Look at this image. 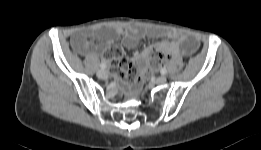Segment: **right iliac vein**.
Masks as SVG:
<instances>
[{"instance_id": "obj_1", "label": "right iliac vein", "mask_w": 261, "mask_h": 150, "mask_svg": "<svg viewBox=\"0 0 261 150\" xmlns=\"http://www.w3.org/2000/svg\"><path fill=\"white\" fill-rule=\"evenodd\" d=\"M97 76H98V78H100V79H106V78L108 77V72L105 71V70H99V71L97 72Z\"/></svg>"}]
</instances>
